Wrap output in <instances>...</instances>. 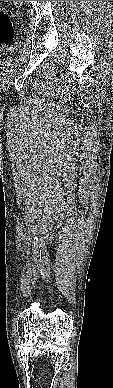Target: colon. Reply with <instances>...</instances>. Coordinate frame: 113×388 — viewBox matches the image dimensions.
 <instances>
[{"label": "colon", "instance_id": "colon-1", "mask_svg": "<svg viewBox=\"0 0 113 388\" xmlns=\"http://www.w3.org/2000/svg\"><path fill=\"white\" fill-rule=\"evenodd\" d=\"M14 38V27L11 21V14L0 9V50L11 43Z\"/></svg>", "mask_w": 113, "mask_h": 388}]
</instances>
